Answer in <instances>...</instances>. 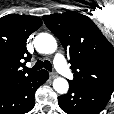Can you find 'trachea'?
<instances>
[{
	"label": "trachea",
	"mask_w": 114,
	"mask_h": 114,
	"mask_svg": "<svg viewBox=\"0 0 114 114\" xmlns=\"http://www.w3.org/2000/svg\"><path fill=\"white\" fill-rule=\"evenodd\" d=\"M42 68H45V69H47L50 72L52 71V65L47 60H45V61L38 60L36 62V64L34 65V67L27 68V71H36V70H39V69H42Z\"/></svg>",
	"instance_id": "obj_1"
}]
</instances>
